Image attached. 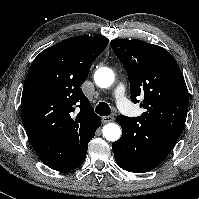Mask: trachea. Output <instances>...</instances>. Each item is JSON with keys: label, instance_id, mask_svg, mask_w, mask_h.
I'll use <instances>...</instances> for the list:
<instances>
[{"label": "trachea", "instance_id": "trachea-1", "mask_svg": "<svg viewBox=\"0 0 199 199\" xmlns=\"http://www.w3.org/2000/svg\"><path fill=\"white\" fill-rule=\"evenodd\" d=\"M96 113L101 115V116H108L111 113V109L108 106L107 103L105 102H100L97 106H96Z\"/></svg>", "mask_w": 199, "mask_h": 199}]
</instances>
